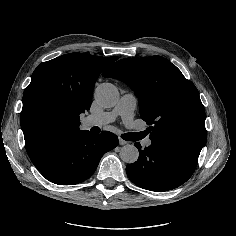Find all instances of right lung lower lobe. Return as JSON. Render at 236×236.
<instances>
[{
  "label": "right lung lower lobe",
  "mask_w": 236,
  "mask_h": 236,
  "mask_svg": "<svg viewBox=\"0 0 236 236\" xmlns=\"http://www.w3.org/2000/svg\"><path fill=\"white\" fill-rule=\"evenodd\" d=\"M118 145V137L108 131H83L60 145L38 169L52 183L74 185L88 179L101 157Z\"/></svg>",
  "instance_id": "right-lung-lower-lobe-1"
}]
</instances>
